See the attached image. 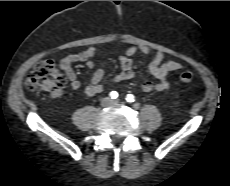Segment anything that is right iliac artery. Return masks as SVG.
Masks as SVG:
<instances>
[{
    "label": "right iliac artery",
    "mask_w": 230,
    "mask_h": 186,
    "mask_svg": "<svg viewBox=\"0 0 230 186\" xmlns=\"http://www.w3.org/2000/svg\"><path fill=\"white\" fill-rule=\"evenodd\" d=\"M109 96L111 97V99H116L118 97V93L116 91H111Z\"/></svg>",
    "instance_id": "obj_1"
}]
</instances>
